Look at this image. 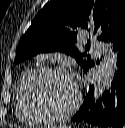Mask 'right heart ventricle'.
Masks as SVG:
<instances>
[{
    "label": "right heart ventricle",
    "instance_id": "right-heart-ventricle-1",
    "mask_svg": "<svg viewBox=\"0 0 125 128\" xmlns=\"http://www.w3.org/2000/svg\"><path fill=\"white\" fill-rule=\"evenodd\" d=\"M32 69L25 70L16 85V115L20 121L29 125L42 124L44 121L39 119L29 108L25 97V84L32 73Z\"/></svg>",
    "mask_w": 125,
    "mask_h": 128
}]
</instances>
